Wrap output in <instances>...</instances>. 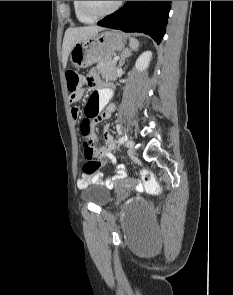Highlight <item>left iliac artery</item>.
<instances>
[{
	"mask_svg": "<svg viewBox=\"0 0 233 295\" xmlns=\"http://www.w3.org/2000/svg\"><path fill=\"white\" fill-rule=\"evenodd\" d=\"M126 144H127V145H131V144H132V141H131V140H127V141H126Z\"/></svg>",
	"mask_w": 233,
	"mask_h": 295,
	"instance_id": "left-iliac-artery-1",
	"label": "left iliac artery"
}]
</instances>
